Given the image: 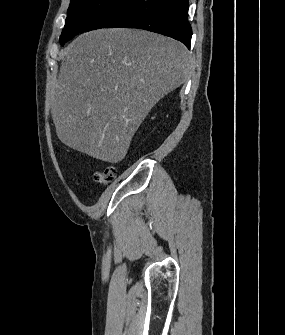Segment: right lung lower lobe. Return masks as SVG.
Instances as JSON below:
<instances>
[{"mask_svg": "<svg viewBox=\"0 0 285 335\" xmlns=\"http://www.w3.org/2000/svg\"><path fill=\"white\" fill-rule=\"evenodd\" d=\"M188 0H116L83 30L139 28L181 41L190 48Z\"/></svg>", "mask_w": 285, "mask_h": 335, "instance_id": "98d812e1", "label": "right lung lower lobe"}]
</instances>
